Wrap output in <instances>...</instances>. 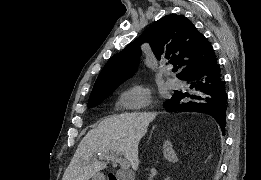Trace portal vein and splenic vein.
Segmentation results:
<instances>
[{"label":"portal vein and splenic vein","instance_id":"obj_1","mask_svg":"<svg viewBox=\"0 0 261 180\" xmlns=\"http://www.w3.org/2000/svg\"><path fill=\"white\" fill-rule=\"evenodd\" d=\"M115 156H120V152H115ZM123 162H125V164H128V162H126V160H122V158H121V164H123Z\"/></svg>","mask_w":261,"mask_h":180}]
</instances>
